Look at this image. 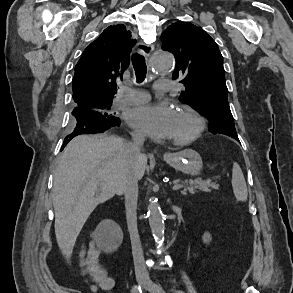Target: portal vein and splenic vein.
<instances>
[{"label":"portal vein and splenic vein","instance_id":"portal-vein-and-splenic-vein-1","mask_svg":"<svg viewBox=\"0 0 293 293\" xmlns=\"http://www.w3.org/2000/svg\"><path fill=\"white\" fill-rule=\"evenodd\" d=\"M180 188H182V185H181V184H175V185L172 187V189H173L174 191H177V190H179Z\"/></svg>","mask_w":293,"mask_h":293}]
</instances>
